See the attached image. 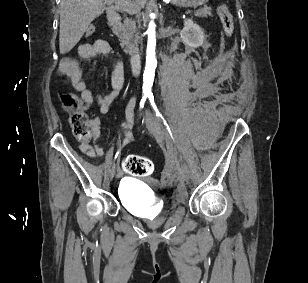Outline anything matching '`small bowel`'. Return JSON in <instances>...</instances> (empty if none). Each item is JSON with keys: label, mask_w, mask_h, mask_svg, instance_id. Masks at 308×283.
<instances>
[{"label": "small bowel", "mask_w": 308, "mask_h": 283, "mask_svg": "<svg viewBox=\"0 0 308 283\" xmlns=\"http://www.w3.org/2000/svg\"><path fill=\"white\" fill-rule=\"evenodd\" d=\"M111 47L105 40L99 39L92 44H83L79 47V55L82 58H92L99 55H109ZM60 72L66 78L67 83L77 92L80 93L81 98L85 104V108H90L97 104L102 114H107L112 109L116 99L124 85V70L120 63L116 64L111 76L112 90L104 95L94 96L87 88L86 83L81 78V70L79 63L73 58H64L60 63ZM135 100L132 99L126 107V120L122 122L121 128L124 133V139L120 147L129 143L132 140V133L130 128L133 125V109ZM94 145H90L88 141H82L79 145L81 153L89 158L101 157L104 155V149L99 145L100 132L97 125H94L93 130Z\"/></svg>", "instance_id": "c3829d8e"}]
</instances>
